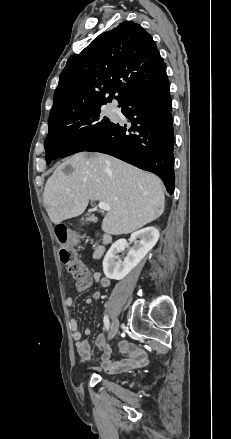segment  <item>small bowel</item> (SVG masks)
I'll use <instances>...</instances> for the list:
<instances>
[{
	"label": "small bowel",
	"mask_w": 231,
	"mask_h": 439,
	"mask_svg": "<svg viewBox=\"0 0 231 439\" xmlns=\"http://www.w3.org/2000/svg\"><path fill=\"white\" fill-rule=\"evenodd\" d=\"M91 280L103 288H108L110 286V280L104 277L100 272H94L91 275ZM101 297V292L95 291L91 296L85 299V303L92 304L94 301L101 299ZM65 302L68 310L71 312L74 307L73 298L68 296ZM69 326L72 331V337L75 341L78 355L85 361L90 360V344L87 339L83 338V335L79 330L78 321L75 317H70ZM84 334H91V328L89 326L85 327ZM96 345L101 351V364L99 369L106 372L117 373L130 368L140 367L147 363V355L145 351L136 345L129 344L127 341L120 342L119 355L116 357L110 346L107 344L104 334L100 333L97 336Z\"/></svg>",
	"instance_id": "obj_1"
}]
</instances>
